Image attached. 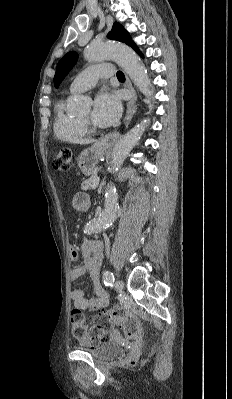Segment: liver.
<instances>
[{"instance_id":"liver-1","label":"liver","mask_w":232,"mask_h":399,"mask_svg":"<svg viewBox=\"0 0 232 399\" xmlns=\"http://www.w3.org/2000/svg\"><path fill=\"white\" fill-rule=\"evenodd\" d=\"M75 144H91V142H88V140H77Z\"/></svg>"}]
</instances>
